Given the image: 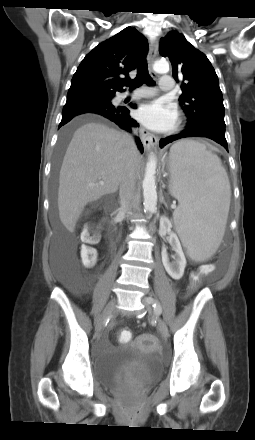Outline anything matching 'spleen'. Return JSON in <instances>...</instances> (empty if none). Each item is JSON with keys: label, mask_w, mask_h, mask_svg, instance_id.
<instances>
[{"label": "spleen", "mask_w": 255, "mask_h": 440, "mask_svg": "<svg viewBox=\"0 0 255 440\" xmlns=\"http://www.w3.org/2000/svg\"><path fill=\"white\" fill-rule=\"evenodd\" d=\"M170 192L179 201L176 231L188 255L203 261L215 253L225 232L231 189L221 160L196 141L170 150Z\"/></svg>", "instance_id": "spleen-1"}]
</instances>
